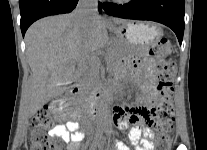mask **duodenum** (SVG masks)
<instances>
[{"mask_svg":"<svg viewBox=\"0 0 207 150\" xmlns=\"http://www.w3.org/2000/svg\"><path fill=\"white\" fill-rule=\"evenodd\" d=\"M80 92V87L77 84H73L68 93L67 99H73ZM109 89L107 86L98 87L92 94L89 102V112L90 114H95L101 103L105 102L108 99ZM82 114H85V111L81 108H74L73 115L79 117Z\"/></svg>","mask_w":207,"mask_h":150,"instance_id":"obj_1","label":"duodenum"}]
</instances>
